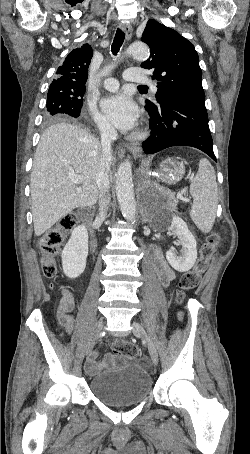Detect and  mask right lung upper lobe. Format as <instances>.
<instances>
[{"mask_svg": "<svg viewBox=\"0 0 250 454\" xmlns=\"http://www.w3.org/2000/svg\"><path fill=\"white\" fill-rule=\"evenodd\" d=\"M92 56L93 50L89 44L72 50L62 66L58 67L57 78L52 81L49 89L69 93L85 89Z\"/></svg>", "mask_w": 250, "mask_h": 454, "instance_id": "obj_1", "label": "right lung upper lobe"}]
</instances>
